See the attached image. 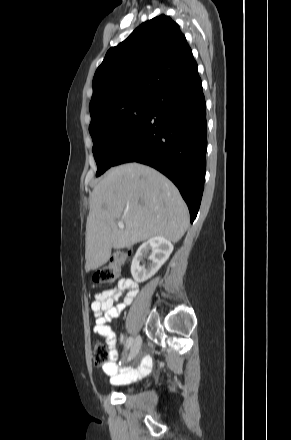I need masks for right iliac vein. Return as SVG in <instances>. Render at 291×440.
<instances>
[{"instance_id": "1", "label": "right iliac vein", "mask_w": 291, "mask_h": 440, "mask_svg": "<svg viewBox=\"0 0 291 440\" xmlns=\"http://www.w3.org/2000/svg\"><path fill=\"white\" fill-rule=\"evenodd\" d=\"M141 344H142V339H141V337L138 335V336L135 338V340H134V342H133V344H132V346H131V351H130V355H129V360L133 359V358L137 355V353L139 352V349H140V347H141Z\"/></svg>"}]
</instances>
